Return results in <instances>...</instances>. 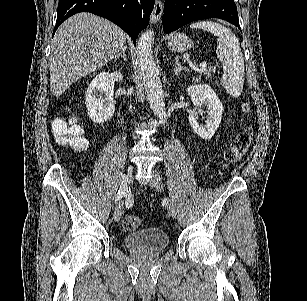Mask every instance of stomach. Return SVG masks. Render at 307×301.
I'll return each instance as SVG.
<instances>
[{"instance_id":"0dacf381","label":"stomach","mask_w":307,"mask_h":301,"mask_svg":"<svg viewBox=\"0 0 307 301\" xmlns=\"http://www.w3.org/2000/svg\"><path fill=\"white\" fill-rule=\"evenodd\" d=\"M167 46L171 52H184V50L193 48L194 42L184 32H173L167 40Z\"/></svg>"}]
</instances>
